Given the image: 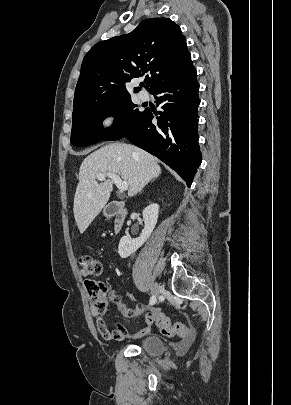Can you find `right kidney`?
Segmentation results:
<instances>
[{
  "label": "right kidney",
  "mask_w": 291,
  "mask_h": 405,
  "mask_svg": "<svg viewBox=\"0 0 291 405\" xmlns=\"http://www.w3.org/2000/svg\"><path fill=\"white\" fill-rule=\"evenodd\" d=\"M158 213L159 205L155 203L150 204L143 210L144 229L140 237L136 239H131L127 236H123L120 239L118 253L121 258L129 257L146 242L157 224Z\"/></svg>",
  "instance_id": "right-kidney-1"
}]
</instances>
